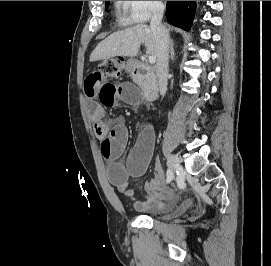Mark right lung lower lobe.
I'll use <instances>...</instances> for the list:
<instances>
[{"instance_id":"right-lung-lower-lobe-1","label":"right lung lower lobe","mask_w":271,"mask_h":266,"mask_svg":"<svg viewBox=\"0 0 271 266\" xmlns=\"http://www.w3.org/2000/svg\"><path fill=\"white\" fill-rule=\"evenodd\" d=\"M196 1H167L166 16L170 24L189 30L193 21Z\"/></svg>"}]
</instances>
